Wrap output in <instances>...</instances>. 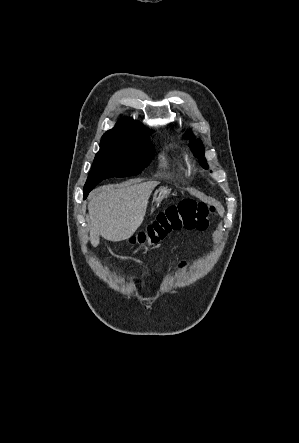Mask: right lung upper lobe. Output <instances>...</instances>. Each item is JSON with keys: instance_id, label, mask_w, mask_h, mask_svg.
Segmentation results:
<instances>
[{"instance_id": "obj_1", "label": "right lung upper lobe", "mask_w": 299, "mask_h": 443, "mask_svg": "<svg viewBox=\"0 0 299 443\" xmlns=\"http://www.w3.org/2000/svg\"><path fill=\"white\" fill-rule=\"evenodd\" d=\"M144 129L145 127L141 123L130 118H125L120 120L113 129L107 131L103 135V138L118 135L139 134Z\"/></svg>"}]
</instances>
